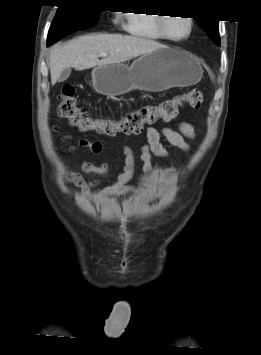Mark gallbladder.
Segmentation results:
<instances>
[{
  "instance_id": "bac80fb5",
  "label": "gallbladder",
  "mask_w": 261,
  "mask_h": 355,
  "mask_svg": "<svg viewBox=\"0 0 261 355\" xmlns=\"http://www.w3.org/2000/svg\"><path fill=\"white\" fill-rule=\"evenodd\" d=\"M70 73H71V69L70 68H67V69H64L60 75V77L58 78V82H64L65 80L68 79V77L70 76Z\"/></svg>"
}]
</instances>
